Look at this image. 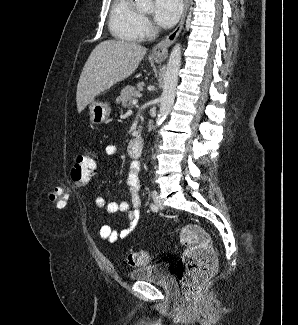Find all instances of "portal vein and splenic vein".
<instances>
[{"mask_svg": "<svg viewBox=\"0 0 298 325\" xmlns=\"http://www.w3.org/2000/svg\"><path fill=\"white\" fill-rule=\"evenodd\" d=\"M138 96H142V94H138ZM138 102V98H134V100H132V104H137Z\"/></svg>", "mask_w": 298, "mask_h": 325, "instance_id": "1", "label": "portal vein and splenic vein"}]
</instances>
